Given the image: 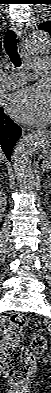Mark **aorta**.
<instances>
[{
	"instance_id": "1",
	"label": "aorta",
	"mask_w": 51,
	"mask_h": 393,
	"mask_svg": "<svg viewBox=\"0 0 51 393\" xmlns=\"http://www.w3.org/2000/svg\"><path fill=\"white\" fill-rule=\"evenodd\" d=\"M25 49L34 54L50 52L51 40L49 34L42 30L32 31L25 38ZM48 140L49 132L42 130L21 139L17 143L13 151L12 162L14 173L21 187H32L34 179L30 160L31 153L35 148L44 146Z\"/></svg>"
}]
</instances>
